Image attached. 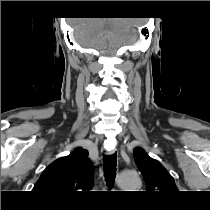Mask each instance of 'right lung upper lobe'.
I'll return each instance as SVG.
<instances>
[{
	"label": "right lung upper lobe",
	"instance_id": "obj_1",
	"mask_svg": "<svg viewBox=\"0 0 210 210\" xmlns=\"http://www.w3.org/2000/svg\"><path fill=\"white\" fill-rule=\"evenodd\" d=\"M92 163L88 152L81 147L70 155L51 163L41 174L33 191L55 202L65 203L73 200L80 192L93 186Z\"/></svg>",
	"mask_w": 210,
	"mask_h": 210
}]
</instances>
